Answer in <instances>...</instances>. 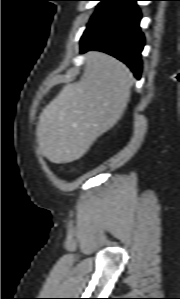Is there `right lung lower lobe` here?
Listing matches in <instances>:
<instances>
[{"label":"right lung lower lobe","mask_w":180,"mask_h":299,"mask_svg":"<svg viewBox=\"0 0 180 299\" xmlns=\"http://www.w3.org/2000/svg\"><path fill=\"white\" fill-rule=\"evenodd\" d=\"M138 0H108L92 16L81 38V52H106L132 70L137 79L142 70L141 52L145 38L140 30Z\"/></svg>","instance_id":"obj_1"}]
</instances>
